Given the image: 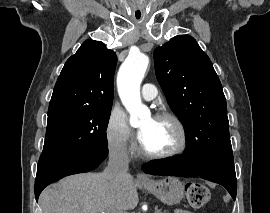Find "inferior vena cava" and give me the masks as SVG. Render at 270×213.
<instances>
[{"mask_svg": "<svg viewBox=\"0 0 270 213\" xmlns=\"http://www.w3.org/2000/svg\"><path fill=\"white\" fill-rule=\"evenodd\" d=\"M129 157L126 146H118L110 149L109 162L105 173L108 178L121 181L129 176L128 174Z\"/></svg>", "mask_w": 270, "mask_h": 213, "instance_id": "1", "label": "inferior vena cava"}]
</instances>
